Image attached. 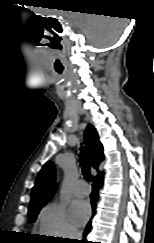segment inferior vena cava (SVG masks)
<instances>
[{"label": "inferior vena cava", "instance_id": "obj_1", "mask_svg": "<svg viewBox=\"0 0 154 243\" xmlns=\"http://www.w3.org/2000/svg\"><path fill=\"white\" fill-rule=\"evenodd\" d=\"M70 237H71V239L81 240L82 235L80 232L73 230L70 232Z\"/></svg>", "mask_w": 154, "mask_h": 243}]
</instances>
